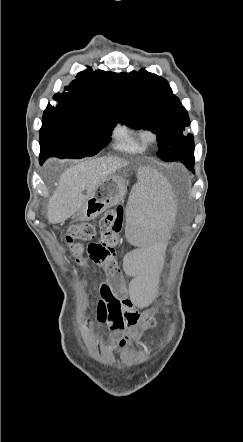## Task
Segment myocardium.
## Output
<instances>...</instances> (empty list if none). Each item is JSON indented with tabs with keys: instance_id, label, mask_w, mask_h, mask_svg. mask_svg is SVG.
Masks as SVG:
<instances>
[{
	"instance_id": "1",
	"label": "myocardium",
	"mask_w": 243,
	"mask_h": 442,
	"mask_svg": "<svg viewBox=\"0 0 243 442\" xmlns=\"http://www.w3.org/2000/svg\"><path fill=\"white\" fill-rule=\"evenodd\" d=\"M158 133L154 129L144 130V139L147 143L152 144L158 140Z\"/></svg>"
}]
</instances>
